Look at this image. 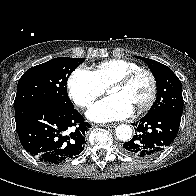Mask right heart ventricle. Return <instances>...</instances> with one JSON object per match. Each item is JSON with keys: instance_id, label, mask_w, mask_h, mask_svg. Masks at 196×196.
Segmentation results:
<instances>
[{"instance_id": "e07e8e85", "label": "right heart ventricle", "mask_w": 196, "mask_h": 196, "mask_svg": "<svg viewBox=\"0 0 196 196\" xmlns=\"http://www.w3.org/2000/svg\"><path fill=\"white\" fill-rule=\"evenodd\" d=\"M139 68V64L130 60L110 59L99 63L94 73L100 84L107 88L116 79Z\"/></svg>"}]
</instances>
